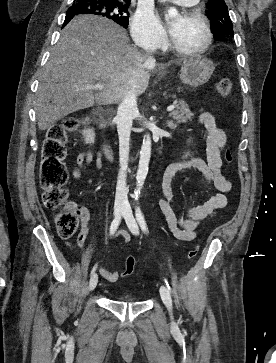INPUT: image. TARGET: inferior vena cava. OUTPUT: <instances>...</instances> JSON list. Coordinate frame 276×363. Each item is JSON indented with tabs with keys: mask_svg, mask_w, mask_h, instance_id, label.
I'll return each instance as SVG.
<instances>
[{
	"mask_svg": "<svg viewBox=\"0 0 276 363\" xmlns=\"http://www.w3.org/2000/svg\"><path fill=\"white\" fill-rule=\"evenodd\" d=\"M155 59L149 54L145 57V66H154ZM137 94L135 88H131L124 95L115 117L119 135V159L120 171L117 179L115 206H126L128 204L126 171L128 169L129 139L132 121L137 114Z\"/></svg>",
	"mask_w": 276,
	"mask_h": 363,
	"instance_id": "1",
	"label": "inferior vena cava"
}]
</instances>
